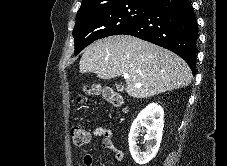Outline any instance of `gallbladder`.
Returning <instances> with one entry per match:
<instances>
[{
  "mask_svg": "<svg viewBox=\"0 0 227 166\" xmlns=\"http://www.w3.org/2000/svg\"><path fill=\"white\" fill-rule=\"evenodd\" d=\"M117 88L121 91L124 89L122 86H118Z\"/></svg>",
  "mask_w": 227,
  "mask_h": 166,
  "instance_id": "gallbladder-1",
  "label": "gallbladder"
}]
</instances>
